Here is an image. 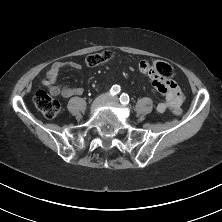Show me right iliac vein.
I'll list each match as a JSON object with an SVG mask.
<instances>
[{
	"label": "right iliac vein",
	"mask_w": 222,
	"mask_h": 222,
	"mask_svg": "<svg viewBox=\"0 0 222 222\" xmlns=\"http://www.w3.org/2000/svg\"><path fill=\"white\" fill-rule=\"evenodd\" d=\"M107 101L108 97L106 94H102L99 97H97L91 105V112H94L97 108L104 105Z\"/></svg>",
	"instance_id": "obj_1"
}]
</instances>
